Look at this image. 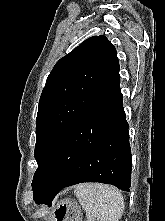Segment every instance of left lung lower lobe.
Returning <instances> with one entry per match:
<instances>
[{"label": "left lung lower lobe", "mask_w": 165, "mask_h": 221, "mask_svg": "<svg viewBox=\"0 0 165 221\" xmlns=\"http://www.w3.org/2000/svg\"><path fill=\"white\" fill-rule=\"evenodd\" d=\"M122 100L118 77L56 148L36 186V204L50 207L62 188L83 182L129 191L132 158Z\"/></svg>", "instance_id": "obj_1"}]
</instances>
